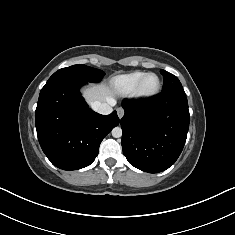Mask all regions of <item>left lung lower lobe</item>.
Masks as SVG:
<instances>
[{
  "instance_id": "0a47b994",
  "label": "left lung lower lobe",
  "mask_w": 235,
  "mask_h": 235,
  "mask_svg": "<svg viewBox=\"0 0 235 235\" xmlns=\"http://www.w3.org/2000/svg\"><path fill=\"white\" fill-rule=\"evenodd\" d=\"M122 148L128 162L145 172L172 166L189 129L188 102L183 89L162 92L147 101L123 100Z\"/></svg>"
}]
</instances>
